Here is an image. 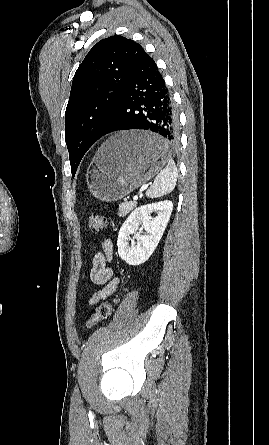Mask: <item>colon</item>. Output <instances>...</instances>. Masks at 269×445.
I'll return each mask as SVG.
<instances>
[{"mask_svg":"<svg viewBox=\"0 0 269 445\" xmlns=\"http://www.w3.org/2000/svg\"><path fill=\"white\" fill-rule=\"evenodd\" d=\"M88 226L91 232L97 233L101 231L105 226V218L97 213H92L89 216ZM116 299L113 303H102L97 308L95 313L87 319L84 327L87 329L93 328L101 321L108 318L115 304L118 303Z\"/></svg>","mask_w":269,"mask_h":445,"instance_id":"1","label":"colon"}]
</instances>
